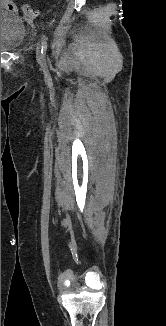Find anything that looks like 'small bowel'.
Masks as SVG:
<instances>
[{
	"label": "small bowel",
	"mask_w": 166,
	"mask_h": 326,
	"mask_svg": "<svg viewBox=\"0 0 166 326\" xmlns=\"http://www.w3.org/2000/svg\"><path fill=\"white\" fill-rule=\"evenodd\" d=\"M1 8L13 11V12H18V8L15 5L13 0H1Z\"/></svg>",
	"instance_id": "1"
}]
</instances>
